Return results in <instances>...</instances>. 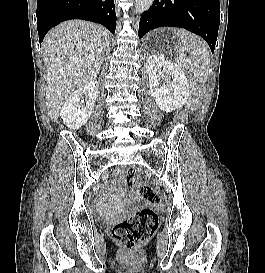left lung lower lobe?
<instances>
[{"mask_svg":"<svg viewBox=\"0 0 265 273\" xmlns=\"http://www.w3.org/2000/svg\"><path fill=\"white\" fill-rule=\"evenodd\" d=\"M219 23V0H154L141 16L138 35L163 26L181 27L200 35L214 52Z\"/></svg>","mask_w":265,"mask_h":273,"instance_id":"left-lung-lower-lobe-1","label":"left lung lower lobe"}]
</instances>
